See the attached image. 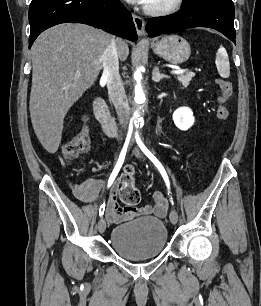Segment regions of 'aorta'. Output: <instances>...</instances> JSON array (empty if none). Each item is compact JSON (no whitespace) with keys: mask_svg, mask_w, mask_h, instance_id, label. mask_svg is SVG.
<instances>
[{"mask_svg":"<svg viewBox=\"0 0 261 306\" xmlns=\"http://www.w3.org/2000/svg\"><path fill=\"white\" fill-rule=\"evenodd\" d=\"M134 78L137 81V84L135 86V95L133 98L134 109L132 113V121L134 124H139L142 121L146 107V95L140 83L142 78L140 69L134 73Z\"/></svg>","mask_w":261,"mask_h":306,"instance_id":"1","label":"aorta"}]
</instances>
